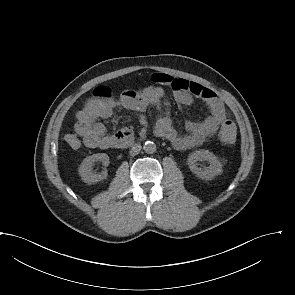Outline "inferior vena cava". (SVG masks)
Here are the masks:
<instances>
[{
  "label": "inferior vena cava",
  "mask_w": 295,
  "mask_h": 295,
  "mask_svg": "<svg viewBox=\"0 0 295 295\" xmlns=\"http://www.w3.org/2000/svg\"><path fill=\"white\" fill-rule=\"evenodd\" d=\"M140 150H141V145L134 144L131 148L130 155L135 156L140 152Z\"/></svg>",
  "instance_id": "inferior-vena-cava-1"
}]
</instances>
